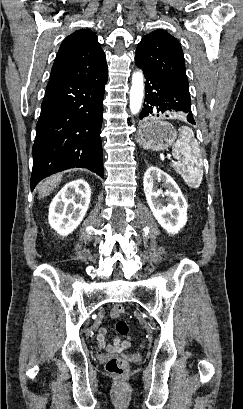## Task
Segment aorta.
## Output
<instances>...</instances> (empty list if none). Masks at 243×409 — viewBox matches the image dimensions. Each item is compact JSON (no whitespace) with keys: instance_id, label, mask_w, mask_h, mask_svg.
I'll list each match as a JSON object with an SVG mask.
<instances>
[{"instance_id":"aorta-1","label":"aorta","mask_w":243,"mask_h":409,"mask_svg":"<svg viewBox=\"0 0 243 409\" xmlns=\"http://www.w3.org/2000/svg\"><path fill=\"white\" fill-rule=\"evenodd\" d=\"M144 97V78L141 71H137L132 75V85L129 92V106L131 113L136 115L139 113Z\"/></svg>"}]
</instances>
